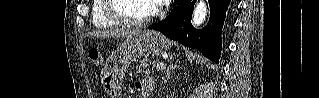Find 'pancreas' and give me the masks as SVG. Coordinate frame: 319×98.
<instances>
[{
	"mask_svg": "<svg viewBox=\"0 0 319 98\" xmlns=\"http://www.w3.org/2000/svg\"><path fill=\"white\" fill-rule=\"evenodd\" d=\"M150 68H154V62L150 60H142L139 64L135 65V69L145 74L150 73Z\"/></svg>",
	"mask_w": 319,
	"mask_h": 98,
	"instance_id": "pancreas-1",
	"label": "pancreas"
}]
</instances>
